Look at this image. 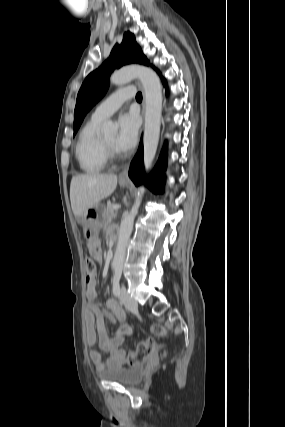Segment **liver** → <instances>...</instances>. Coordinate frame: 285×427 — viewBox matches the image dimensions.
I'll list each match as a JSON object with an SVG mask.
<instances>
[{
	"label": "liver",
	"instance_id": "liver-1",
	"mask_svg": "<svg viewBox=\"0 0 285 427\" xmlns=\"http://www.w3.org/2000/svg\"><path fill=\"white\" fill-rule=\"evenodd\" d=\"M117 185L114 174H80L72 178L70 201L74 215L81 217L89 208L111 195Z\"/></svg>",
	"mask_w": 285,
	"mask_h": 427
}]
</instances>
